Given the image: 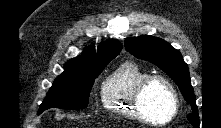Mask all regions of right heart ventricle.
I'll use <instances>...</instances> for the list:
<instances>
[{"instance_id": "1", "label": "right heart ventricle", "mask_w": 221, "mask_h": 128, "mask_svg": "<svg viewBox=\"0 0 221 128\" xmlns=\"http://www.w3.org/2000/svg\"><path fill=\"white\" fill-rule=\"evenodd\" d=\"M149 74V71L133 60L118 65L102 85L104 108L116 116L139 120L132 106V95L137 84Z\"/></svg>"}]
</instances>
